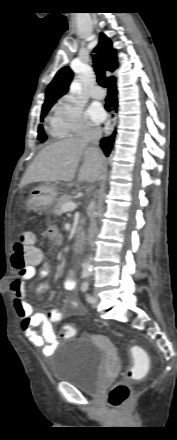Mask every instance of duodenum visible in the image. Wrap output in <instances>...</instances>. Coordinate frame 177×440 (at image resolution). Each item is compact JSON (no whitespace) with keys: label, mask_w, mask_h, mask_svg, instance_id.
Instances as JSON below:
<instances>
[{"label":"duodenum","mask_w":177,"mask_h":440,"mask_svg":"<svg viewBox=\"0 0 177 440\" xmlns=\"http://www.w3.org/2000/svg\"><path fill=\"white\" fill-rule=\"evenodd\" d=\"M84 246V237L82 233H79L74 241L73 249L76 253H81Z\"/></svg>","instance_id":"410a0bca"}]
</instances>
